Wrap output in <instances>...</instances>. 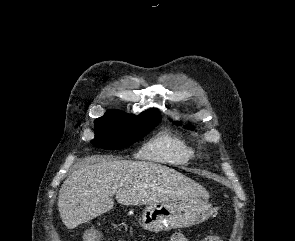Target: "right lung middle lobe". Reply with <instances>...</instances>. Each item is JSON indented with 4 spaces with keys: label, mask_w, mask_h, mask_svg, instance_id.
<instances>
[{
    "label": "right lung middle lobe",
    "mask_w": 295,
    "mask_h": 241,
    "mask_svg": "<svg viewBox=\"0 0 295 241\" xmlns=\"http://www.w3.org/2000/svg\"><path fill=\"white\" fill-rule=\"evenodd\" d=\"M161 118L141 113L139 116L120 111H108L94 121L92 144L103 149H122L143 138L155 128Z\"/></svg>",
    "instance_id": "right-lung-middle-lobe-1"
}]
</instances>
